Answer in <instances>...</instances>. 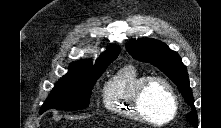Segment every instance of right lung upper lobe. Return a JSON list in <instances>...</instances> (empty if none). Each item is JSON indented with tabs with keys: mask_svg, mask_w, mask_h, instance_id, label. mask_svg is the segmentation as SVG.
Returning <instances> with one entry per match:
<instances>
[{
	"mask_svg": "<svg viewBox=\"0 0 221 128\" xmlns=\"http://www.w3.org/2000/svg\"><path fill=\"white\" fill-rule=\"evenodd\" d=\"M120 52V48L117 47V46H110L97 60H96V63L95 65L97 64H100L102 62H104L105 60H107L108 58L114 56V55H118ZM88 65H92L91 63H87V62H84V61H79L77 63H73L70 65V68H69V72L68 73H71V72H75L85 66H88Z\"/></svg>",
	"mask_w": 221,
	"mask_h": 128,
	"instance_id": "obj_1",
	"label": "right lung upper lobe"
}]
</instances>
